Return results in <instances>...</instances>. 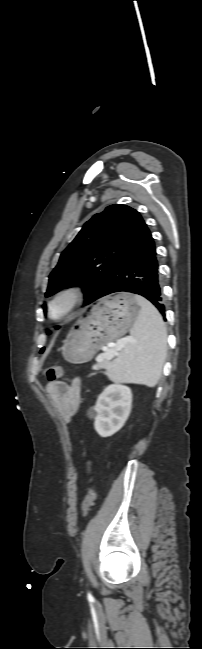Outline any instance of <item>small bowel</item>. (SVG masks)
Listing matches in <instances>:
<instances>
[{
  "mask_svg": "<svg viewBox=\"0 0 202 649\" xmlns=\"http://www.w3.org/2000/svg\"><path fill=\"white\" fill-rule=\"evenodd\" d=\"M81 379L74 378L71 384L64 381L49 382L46 390L51 398L53 408L66 423H69L77 411L81 396Z\"/></svg>",
  "mask_w": 202,
  "mask_h": 649,
  "instance_id": "small-bowel-1",
  "label": "small bowel"
}]
</instances>
